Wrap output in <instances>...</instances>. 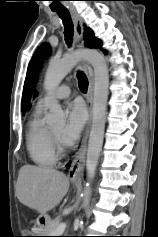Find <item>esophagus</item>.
Returning a JSON list of instances; mask_svg holds the SVG:
<instances>
[{
  "mask_svg": "<svg viewBox=\"0 0 158 237\" xmlns=\"http://www.w3.org/2000/svg\"><path fill=\"white\" fill-rule=\"evenodd\" d=\"M70 12L74 21L75 40L78 46L81 47L83 46V43H84L83 20L73 7L70 8ZM83 67L89 81L88 91L86 95L87 106L89 110V120L87 123V127L85 130L81 145L78 151L75 153V156L73 160L71 161V164L68 170V177L71 181L79 180L81 177L84 161H85V155L87 151V141L89 137V131H90L91 121H92V116H93L92 105H93V93H94V72H93L92 67L88 63L84 62Z\"/></svg>",
  "mask_w": 158,
  "mask_h": 237,
  "instance_id": "34e87169",
  "label": "esophagus"
}]
</instances>
